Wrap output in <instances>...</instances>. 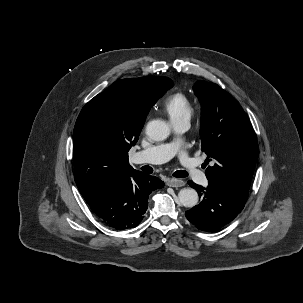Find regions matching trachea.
Wrapping results in <instances>:
<instances>
[{"mask_svg":"<svg viewBox=\"0 0 303 303\" xmlns=\"http://www.w3.org/2000/svg\"><path fill=\"white\" fill-rule=\"evenodd\" d=\"M173 176L177 177V178H185V177L188 176V173L186 171H183V170H178V171L173 173Z\"/></svg>","mask_w":303,"mask_h":303,"instance_id":"1","label":"trachea"}]
</instances>
